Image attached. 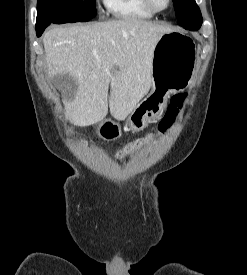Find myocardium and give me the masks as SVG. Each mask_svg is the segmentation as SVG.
Here are the masks:
<instances>
[{
	"label": "myocardium",
	"mask_w": 247,
	"mask_h": 275,
	"mask_svg": "<svg viewBox=\"0 0 247 275\" xmlns=\"http://www.w3.org/2000/svg\"><path fill=\"white\" fill-rule=\"evenodd\" d=\"M144 1V4L154 13H162V12H165L167 11L170 7H171V4H172V0H167V5L166 7L160 9V8H157L155 5H154V2L153 0H143Z\"/></svg>",
	"instance_id": "f54148a6"
}]
</instances>
